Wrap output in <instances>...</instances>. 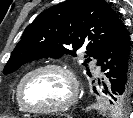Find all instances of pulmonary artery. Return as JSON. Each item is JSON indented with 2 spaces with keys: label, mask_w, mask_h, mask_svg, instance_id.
<instances>
[{
  "label": "pulmonary artery",
  "mask_w": 133,
  "mask_h": 118,
  "mask_svg": "<svg viewBox=\"0 0 133 118\" xmlns=\"http://www.w3.org/2000/svg\"><path fill=\"white\" fill-rule=\"evenodd\" d=\"M94 62H96V61H94ZM98 69H101V67L99 66Z\"/></svg>",
  "instance_id": "pulmonary-artery-1"
}]
</instances>
